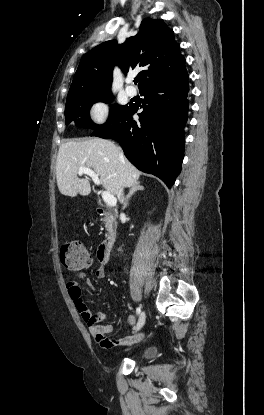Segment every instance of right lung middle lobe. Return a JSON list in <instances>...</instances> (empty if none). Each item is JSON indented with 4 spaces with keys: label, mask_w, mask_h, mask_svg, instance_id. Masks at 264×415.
I'll list each match as a JSON object with an SVG mask.
<instances>
[{
    "label": "right lung middle lobe",
    "mask_w": 264,
    "mask_h": 415,
    "mask_svg": "<svg viewBox=\"0 0 264 415\" xmlns=\"http://www.w3.org/2000/svg\"><path fill=\"white\" fill-rule=\"evenodd\" d=\"M112 100L113 95L111 92L101 94H85L67 98L65 106L66 125L74 120L77 125H80L83 128L95 129L99 127L100 125L93 123L91 120L89 110L95 102L100 101L110 103ZM126 108L127 105H114L112 107V112L105 124L110 123Z\"/></svg>",
    "instance_id": "obj_1"
}]
</instances>
